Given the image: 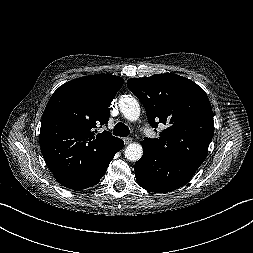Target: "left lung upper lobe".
I'll return each mask as SVG.
<instances>
[{
	"instance_id": "obj_1",
	"label": "left lung upper lobe",
	"mask_w": 253,
	"mask_h": 253,
	"mask_svg": "<svg viewBox=\"0 0 253 253\" xmlns=\"http://www.w3.org/2000/svg\"><path fill=\"white\" fill-rule=\"evenodd\" d=\"M127 85L146 108L151 126H167L159 138H144L142 142L164 162L203 163L214 134L212 108L204 90L172 73L132 78Z\"/></svg>"
}]
</instances>
